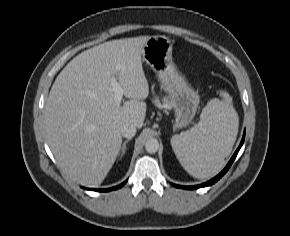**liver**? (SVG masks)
I'll list each match as a JSON object with an SVG mask.
<instances>
[{"mask_svg": "<svg viewBox=\"0 0 290 236\" xmlns=\"http://www.w3.org/2000/svg\"><path fill=\"white\" fill-rule=\"evenodd\" d=\"M150 36L112 40L74 57L59 73L45 106L48 144L60 169L98 187L121 149L120 128L143 126L149 85L142 67ZM115 79L130 101L117 105Z\"/></svg>", "mask_w": 290, "mask_h": 236, "instance_id": "obj_1", "label": "liver"}]
</instances>
